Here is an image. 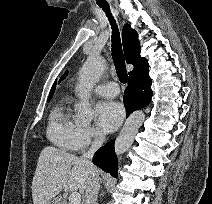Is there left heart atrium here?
<instances>
[{
  "mask_svg": "<svg viewBox=\"0 0 212 204\" xmlns=\"http://www.w3.org/2000/svg\"><path fill=\"white\" fill-rule=\"evenodd\" d=\"M124 118L123 106L116 101H102L97 106V124L105 133L113 132Z\"/></svg>",
  "mask_w": 212,
  "mask_h": 204,
  "instance_id": "obj_1",
  "label": "left heart atrium"
}]
</instances>
